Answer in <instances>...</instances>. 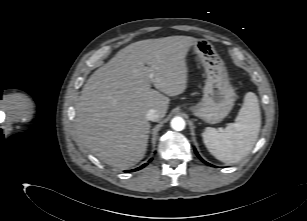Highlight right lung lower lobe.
Listing matches in <instances>:
<instances>
[{
  "instance_id": "obj_1",
  "label": "right lung lower lobe",
  "mask_w": 307,
  "mask_h": 221,
  "mask_svg": "<svg viewBox=\"0 0 307 221\" xmlns=\"http://www.w3.org/2000/svg\"><path fill=\"white\" fill-rule=\"evenodd\" d=\"M147 165V163H145L144 165H142L141 167H139V168H136V169H134V170H130V171H125V172H132V171H136V170H139V169H141V168H143V167H145Z\"/></svg>"
}]
</instances>
